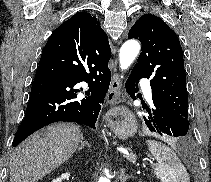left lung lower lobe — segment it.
Instances as JSON below:
<instances>
[{
  "label": "left lung lower lobe",
  "mask_w": 211,
  "mask_h": 182,
  "mask_svg": "<svg viewBox=\"0 0 211 182\" xmlns=\"http://www.w3.org/2000/svg\"><path fill=\"white\" fill-rule=\"evenodd\" d=\"M141 78L138 73L132 71L126 81V91L133 99H136L135 94L138 92L137 85ZM146 110L149 113V117L144 119L150 131L160 135L179 137L178 142L183 147L190 145L191 141L188 134L189 121L187 118L183 117L168 104L154 99L153 107H147Z\"/></svg>",
  "instance_id": "0a47b994"
}]
</instances>
